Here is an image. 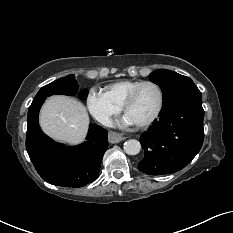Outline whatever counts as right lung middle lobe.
Segmentation results:
<instances>
[{
  "label": "right lung middle lobe",
  "instance_id": "1",
  "mask_svg": "<svg viewBox=\"0 0 233 233\" xmlns=\"http://www.w3.org/2000/svg\"><path fill=\"white\" fill-rule=\"evenodd\" d=\"M78 91V83L74 79V75H68L66 77L57 79L44 87H42L36 94L34 100L39 98H46L53 94H65L74 95ZM87 91L81 92V97L86 98Z\"/></svg>",
  "mask_w": 233,
  "mask_h": 233
}]
</instances>
